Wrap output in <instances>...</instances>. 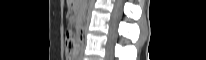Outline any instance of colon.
<instances>
[{"instance_id": "1", "label": "colon", "mask_w": 206, "mask_h": 60, "mask_svg": "<svg viewBox=\"0 0 206 60\" xmlns=\"http://www.w3.org/2000/svg\"><path fill=\"white\" fill-rule=\"evenodd\" d=\"M66 37H67V40L69 42V55L72 56L74 53H75V48H74V45H73V32H72V29H67L66 31Z\"/></svg>"}]
</instances>
